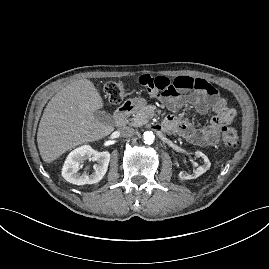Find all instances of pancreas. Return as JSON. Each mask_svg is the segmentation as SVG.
Returning <instances> with one entry per match:
<instances>
[{
	"label": "pancreas",
	"instance_id": "cf45deb5",
	"mask_svg": "<svg viewBox=\"0 0 269 269\" xmlns=\"http://www.w3.org/2000/svg\"><path fill=\"white\" fill-rule=\"evenodd\" d=\"M155 113L149 106H144L137 113L129 119V124L134 127H139L146 124L154 117Z\"/></svg>",
	"mask_w": 269,
	"mask_h": 269
}]
</instances>
